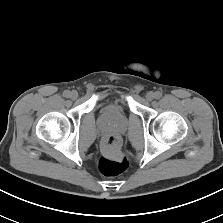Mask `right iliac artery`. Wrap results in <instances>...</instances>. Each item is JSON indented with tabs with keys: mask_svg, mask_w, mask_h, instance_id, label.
I'll return each instance as SVG.
<instances>
[{
	"mask_svg": "<svg viewBox=\"0 0 223 223\" xmlns=\"http://www.w3.org/2000/svg\"><path fill=\"white\" fill-rule=\"evenodd\" d=\"M63 96L66 98L70 97V91L68 90L64 91Z\"/></svg>",
	"mask_w": 223,
	"mask_h": 223,
	"instance_id": "obj_1",
	"label": "right iliac artery"
}]
</instances>
